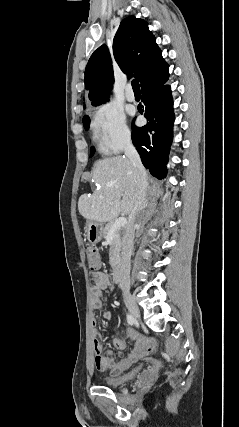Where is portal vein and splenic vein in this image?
Returning a JSON list of instances; mask_svg holds the SVG:
<instances>
[{
    "instance_id": "1",
    "label": "portal vein and splenic vein",
    "mask_w": 239,
    "mask_h": 427,
    "mask_svg": "<svg viewBox=\"0 0 239 427\" xmlns=\"http://www.w3.org/2000/svg\"><path fill=\"white\" fill-rule=\"evenodd\" d=\"M127 224V219L125 217H119L115 220L114 224L112 225L111 230L115 231L116 229L120 227H124Z\"/></svg>"
}]
</instances>
